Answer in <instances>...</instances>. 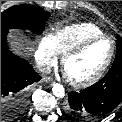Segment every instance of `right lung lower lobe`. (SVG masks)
<instances>
[{"mask_svg":"<svg viewBox=\"0 0 122 122\" xmlns=\"http://www.w3.org/2000/svg\"><path fill=\"white\" fill-rule=\"evenodd\" d=\"M7 34L1 30V122H14L26 107L28 86L41 77L27 60L8 49Z\"/></svg>","mask_w":122,"mask_h":122,"instance_id":"1","label":"right lung lower lobe"}]
</instances>
